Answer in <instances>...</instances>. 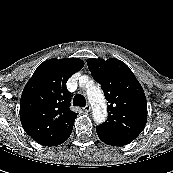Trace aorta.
I'll use <instances>...</instances> for the list:
<instances>
[{
	"mask_svg": "<svg viewBox=\"0 0 173 173\" xmlns=\"http://www.w3.org/2000/svg\"><path fill=\"white\" fill-rule=\"evenodd\" d=\"M81 85L87 86V97L92 106L93 117L96 123H103L107 119V110L105 98L99 87L92 85V81L88 76H81L79 78Z\"/></svg>",
	"mask_w": 173,
	"mask_h": 173,
	"instance_id": "762f6f07",
	"label": "aorta"
}]
</instances>
